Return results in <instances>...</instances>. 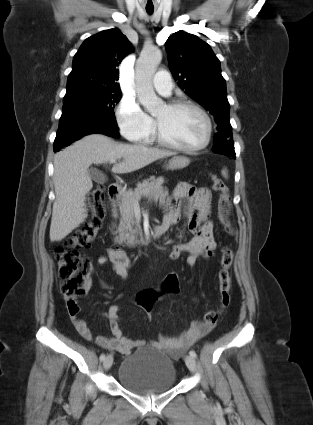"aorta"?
Listing matches in <instances>:
<instances>
[{"mask_svg": "<svg viewBox=\"0 0 313 425\" xmlns=\"http://www.w3.org/2000/svg\"><path fill=\"white\" fill-rule=\"evenodd\" d=\"M162 54L158 48H148L141 52L135 68L136 94L138 101L150 113L162 105V100L155 94L152 78L161 62Z\"/></svg>", "mask_w": 313, "mask_h": 425, "instance_id": "obj_1", "label": "aorta"}]
</instances>
